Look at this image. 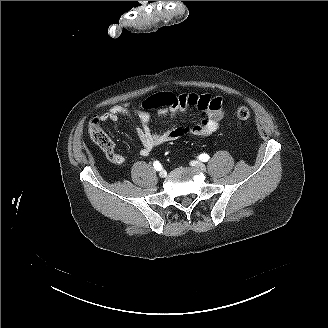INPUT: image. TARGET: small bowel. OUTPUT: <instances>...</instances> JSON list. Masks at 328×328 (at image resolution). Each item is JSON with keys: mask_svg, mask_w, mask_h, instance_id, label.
Here are the masks:
<instances>
[{"mask_svg": "<svg viewBox=\"0 0 328 328\" xmlns=\"http://www.w3.org/2000/svg\"><path fill=\"white\" fill-rule=\"evenodd\" d=\"M178 98L179 102L169 110L161 111L158 119H171L184 114L188 108L194 107L202 115L200 121L193 125L174 124L159 132H154L151 129V114L129 103L112 106L108 111L101 114L99 119L106 122L117 121L120 116L136 117L139 120L136 133L142 144L139 151L142 157L148 156L154 148L177 140L184 135L190 134L205 138L218 130L224 117L223 99L220 96L213 97L209 94L189 93L181 94ZM106 156L117 165H122L126 161L125 156L116 153L114 149L106 152Z\"/></svg>", "mask_w": 328, "mask_h": 328, "instance_id": "1", "label": "small bowel"}]
</instances>
